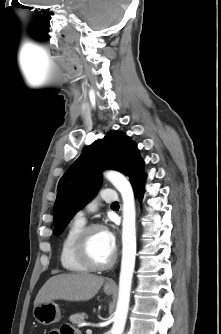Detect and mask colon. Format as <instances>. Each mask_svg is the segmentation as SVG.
Wrapping results in <instances>:
<instances>
[{
  "label": "colon",
  "mask_w": 221,
  "mask_h": 334,
  "mask_svg": "<svg viewBox=\"0 0 221 334\" xmlns=\"http://www.w3.org/2000/svg\"><path fill=\"white\" fill-rule=\"evenodd\" d=\"M49 334H56V333H51V332H50Z\"/></svg>",
  "instance_id": "colon-1"
}]
</instances>
